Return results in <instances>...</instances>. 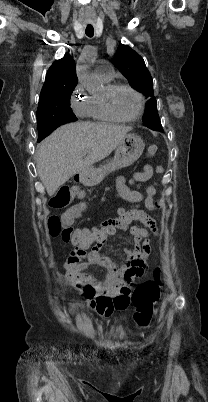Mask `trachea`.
I'll return each mask as SVG.
<instances>
[{"instance_id": "trachea-1", "label": "trachea", "mask_w": 208, "mask_h": 402, "mask_svg": "<svg viewBox=\"0 0 208 402\" xmlns=\"http://www.w3.org/2000/svg\"><path fill=\"white\" fill-rule=\"evenodd\" d=\"M85 33L88 37H93L94 29L92 26H87L85 29Z\"/></svg>"}]
</instances>
